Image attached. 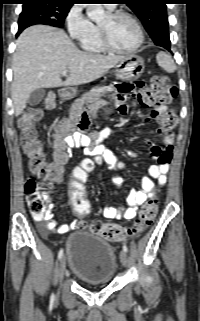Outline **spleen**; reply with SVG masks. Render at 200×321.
I'll list each match as a JSON object with an SVG mask.
<instances>
[{
  "label": "spleen",
  "mask_w": 200,
  "mask_h": 321,
  "mask_svg": "<svg viewBox=\"0 0 200 321\" xmlns=\"http://www.w3.org/2000/svg\"><path fill=\"white\" fill-rule=\"evenodd\" d=\"M156 60L158 65L166 72L173 73L176 70V65L174 63V60L172 57L165 53V52H159L156 56Z\"/></svg>",
  "instance_id": "spleen-1"
}]
</instances>
